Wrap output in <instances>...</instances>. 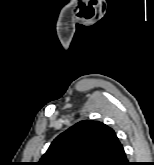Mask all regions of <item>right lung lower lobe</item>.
<instances>
[{"instance_id": "1", "label": "right lung lower lobe", "mask_w": 154, "mask_h": 165, "mask_svg": "<svg viewBox=\"0 0 154 165\" xmlns=\"http://www.w3.org/2000/svg\"><path fill=\"white\" fill-rule=\"evenodd\" d=\"M109 165H130V162H128L123 146L119 145V150L116 153V155L113 157L112 161L109 163Z\"/></svg>"}]
</instances>
